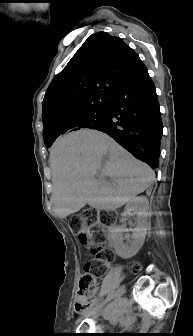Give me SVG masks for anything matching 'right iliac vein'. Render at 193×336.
Listing matches in <instances>:
<instances>
[{
  "instance_id": "right-iliac-vein-1",
  "label": "right iliac vein",
  "mask_w": 193,
  "mask_h": 336,
  "mask_svg": "<svg viewBox=\"0 0 193 336\" xmlns=\"http://www.w3.org/2000/svg\"><path fill=\"white\" fill-rule=\"evenodd\" d=\"M124 292H125V287L124 286L120 287L118 292H117L118 299H117V302H116V308H117L118 305H120V303H121L120 300H121V297L124 294ZM100 310H101V307H94L91 310H88L86 313H84L83 317L90 316V315H92V316L98 315ZM79 321H80V319H79Z\"/></svg>"
}]
</instances>
